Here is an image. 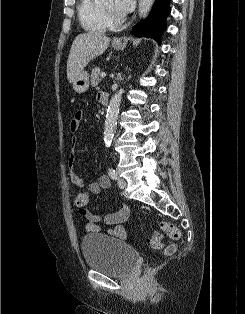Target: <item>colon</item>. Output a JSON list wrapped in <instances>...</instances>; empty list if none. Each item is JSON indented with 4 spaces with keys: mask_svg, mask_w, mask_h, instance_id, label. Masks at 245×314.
<instances>
[{
    "mask_svg": "<svg viewBox=\"0 0 245 314\" xmlns=\"http://www.w3.org/2000/svg\"><path fill=\"white\" fill-rule=\"evenodd\" d=\"M89 202V193L87 191H80L75 194L74 196V204L79 208L80 211H84L85 207L87 206ZM160 228L162 231H164L173 241H178L181 238V232L180 230L169 222H161ZM150 246L153 249H162L164 247L163 241H162V235L159 232H156L153 234L152 238L149 241ZM175 250V245L170 244L165 249V254L169 255L172 254Z\"/></svg>",
    "mask_w": 245,
    "mask_h": 314,
    "instance_id": "1",
    "label": "colon"
}]
</instances>
